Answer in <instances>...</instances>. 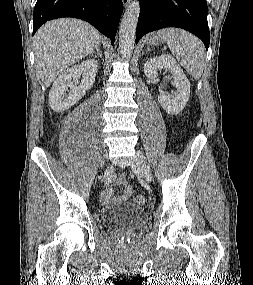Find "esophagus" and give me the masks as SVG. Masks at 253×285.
Here are the masks:
<instances>
[{"mask_svg":"<svg viewBox=\"0 0 253 285\" xmlns=\"http://www.w3.org/2000/svg\"><path fill=\"white\" fill-rule=\"evenodd\" d=\"M123 6L127 7L128 4L130 3V0H122Z\"/></svg>","mask_w":253,"mask_h":285,"instance_id":"1","label":"esophagus"}]
</instances>
